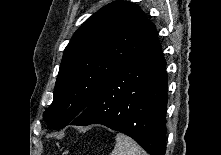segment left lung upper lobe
Listing matches in <instances>:
<instances>
[{"mask_svg":"<svg viewBox=\"0 0 221 155\" xmlns=\"http://www.w3.org/2000/svg\"><path fill=\"white\" fill-rule=\"evenodd\" d=\"M139 6L115 1L88 18L65 48L52 104L43 118L61 129L81 114L105 81L152 35Z\"/></svg>","mask_w":221,"mask_h":155,"instance_id":"5c2ea615","label":"left lung upper lobe"}]
</instances>
